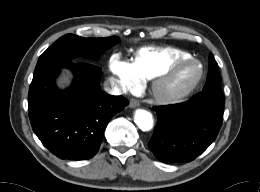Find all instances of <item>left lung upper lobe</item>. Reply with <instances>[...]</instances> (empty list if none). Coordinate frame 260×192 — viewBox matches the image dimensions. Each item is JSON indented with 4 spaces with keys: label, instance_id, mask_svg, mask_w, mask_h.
I'll list each match as a JSON object with an SVG mask.
<instances>
[{
    "label": "left lung upper lobe",
    "instance_id": "1",
    "mask_svg": "<svg viewBox=\"0 0 260 192\" xmlns=\"http://www.w3.org/2000/svg\"><path fill=\"white\" fill-rule=\"evenodd\" d=\"M221 79L218 70V64L211 54L209 57V72L207 76V81L203 91L208 90H221L220 87Z\"/></svg>",
    "mask_w": 260,
    "mask_h": 192
}]
</instances>
